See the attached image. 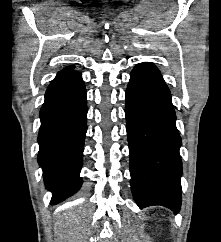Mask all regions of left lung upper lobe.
Listing matches in <instances>:
<instances>
[{"label": "left lung upper lobe", "instance_id": "left-lung-upper-lobe-1", "mask_svg": "<svg viewBox=\"0 0 221 242\" xmlns=\"http://www.w3.org/2000/svg\"><path fill=\"white\" fill-rule=\"evenodd\" d=\"M138 65L152 68L153 70H155L156 72L159 73V70H158L154 65H152V64H150V63H147V62H146V63H140V64H138Z\"/></svg>", "mask_w": 221, "mask_h": 242}]
</instances>
